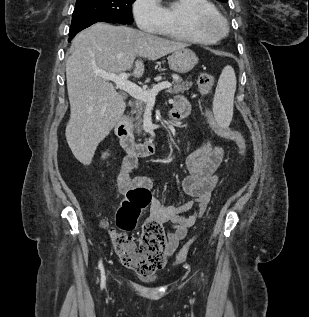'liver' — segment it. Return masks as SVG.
Segmentation results:
<instances>
[{"label": "liver", "instance_id": "6515ba94", "mask_svg": "<svg viewBox=\"0 0 309 317\" xmlns=\"http://www.w3.org/2000/svg\"><path fill=\"white\" fill-rule=\"evenodd\" d=\"M188 44L164 39L127 26L96 23L80 32L66 60L70 120L66 140L75 158L89 165L98 144L121 119L126 103L109 80L95 71L120 74L133 69L144 73L142 60H157Z\"/></svg>", "mask_w": 309, "mask_h": 317}]
</instances>
